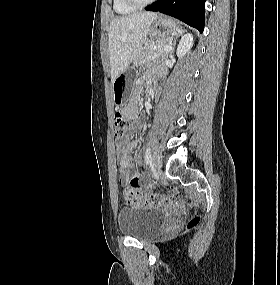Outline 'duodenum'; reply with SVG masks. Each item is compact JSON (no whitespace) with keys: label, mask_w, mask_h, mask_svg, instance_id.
<instances>
[{"label":"duodenum","mask_w":280,"mask_h":285,"mask_svg":"<svg viewBox=\"0 0 280 285\" xmlns=\"http://www.w3.org/2000/svg\"><path fill=\"white\" fill-rule=\"evenodd\" d=\"M153 94H154V99H158L160 96V88L157 84H155L153 87Z\"/></svg>","instance_id":"duodenum-1"}]
</instances>
